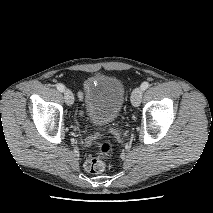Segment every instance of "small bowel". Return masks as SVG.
Segmentation results:
<instances>
[{
  "label": "small bowel",
  "mask_w": 213,
  "mask_h": 213,
  "mask_svg": "<svg viewBox=\"0 0 213 213\" xmlns=\"http://www.w3.org/2000/svg\"><path fill=\"white\" fill-rule=\"evenodd\" d=\"M79 96L82 97V93H79Z\"/></svg>",
  "instance_id": "obj_1"
}]
</instances>
